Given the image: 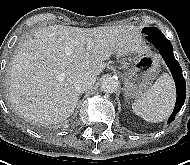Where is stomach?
<instances>
[{
  "label": "stomach",
  "instance_id": "stomach-1",
  "mask_svg": "<svg viewBox=\"0 0 190 165\" xmlns=\"http://www.w3.org/2000/svg\"><path fill=\"white\" fill-rule=\"evenodd\" d=\"M159 71V62L155 57L135 58L124 75L125 96L129 98L143 96L151 88Z\"/></svg>",
  "mask_w": 190,
  "mask_h": 165
}]
</instances>
